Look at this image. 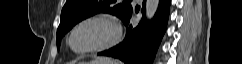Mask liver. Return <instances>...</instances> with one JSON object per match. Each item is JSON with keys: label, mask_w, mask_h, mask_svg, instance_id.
<instances>
[{"label": "liver", "mask_w": 242, "mask_h": 64, "mask_svg": "<svg viewBox=\"0 0 242 64\" xmlns=\"http://www.w3.org/2000/svg\"><path fill=\"white\" fill-rule=\"evenodd\" d=\"M97 60H100L101 62H106V63L116 64L115 61L110 60V59H108V58H101V59L97 58V59H95V61H97Z\"/></svg>", "instance_id": "obj_1"}]
</instances>
